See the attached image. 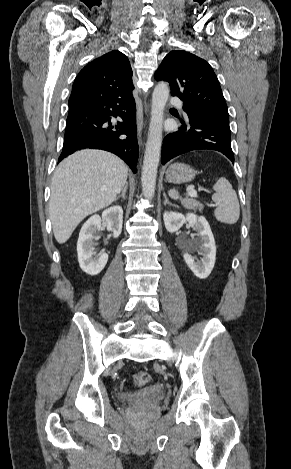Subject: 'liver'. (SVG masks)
<instances>
[{
	"label": "liver",
	"instance_id": "liver-1",
	"mask_svg": "<svg viewBox=\"0 0 291 469\" xmlns=\"http://www.w3.org/2000/svg\"><path fill=\"white\" fill-rule=\"evenodd\" d=\"M127 176V165L106 151L86 149L64 159L52 178L49 201L57 242L65 243L85 217L112 204Z\"/></svg>",
	"mask_w": 291,
	"mask_h": 469
}]
</instances>
